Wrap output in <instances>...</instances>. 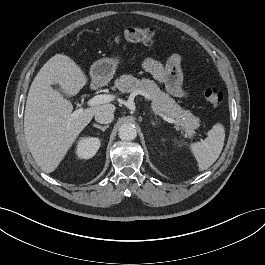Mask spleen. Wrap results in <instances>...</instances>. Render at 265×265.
I'll use <instances>...</instances> for the list:
<instances>
[{
    "instance_id": "obj_1",
    "label": "spleen",
    "mask_w": 265,
    "mask_h": 265,
    "mask_svg": "<svg viewBox=\"0 0 265 265\" xmlns=\"http://www.w3.org/2000/svg\"><path fill=\"white\" fill-rule=\"evenodd\" d=\"M225 139L224 126L215 124L201 142L192 143L190 148L198 162L200 171L208 169L219 157Z\"/></svg>"
}]
</instances>
